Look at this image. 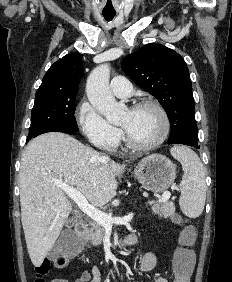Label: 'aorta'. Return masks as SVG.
<instances>
[{"instance_id":"obj_1","label":"aorta","mask_w":232,"mask_h":282,"mask_svg":"<svg viewBox=\"0 0 232 282\" xmlns=\"http://www.w3.org/2000/svg\"><path fill=\"white\" fill-rule=\"evenodd\" d=\"M110 65L101 64L90 73L86 83V93L90 103L112 124H118L126 110L118 103L109 87Z\"/></svg>"}]
</instances>
